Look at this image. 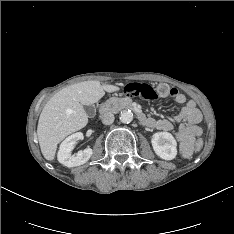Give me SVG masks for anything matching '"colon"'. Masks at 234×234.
<instances>
[{
	"label": "colon",
	"mask_w": 234,
	"mask_h": 234,
	"mask_svg": "<svg viewBox=\"0 0 234 234\" xmlns=\"http://www.w3.org/2000/svg\"><path fill=\"white\" fill-rule=\"evenodd\" d=\"M123 92L127 95L140 96L147 100H154L158 97L172 96V89L167 85L161 84L156 88L151 87L145 83H129L127 84ZM202 145L201 141L195 143V147L198 149Z\"/></svg>",
	"instance_id": "1"
}]
</instances>
